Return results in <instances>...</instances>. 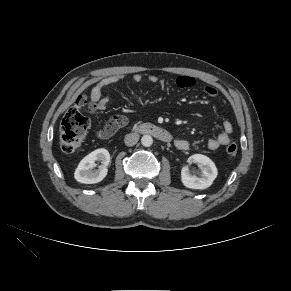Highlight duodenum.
Here are the masks:
<instances>
[{
  "mask_svg": "<svg viewBox=\"0 0 291 291\" xmlns=\"http://www.w3.org/2000/svg\"><path fill=\"white\" fill-rule=\"evenodd\" d=\"M136 130L142 134L152 135L163 142H170L172 139L171 134L167 130L154 124H141Z\"/></svg>",
  "mask_w": 291,
  "mask_h": 291,
  "instance_id": "duodenum-1",
  "label": "duodenum"
}]
</instances>
